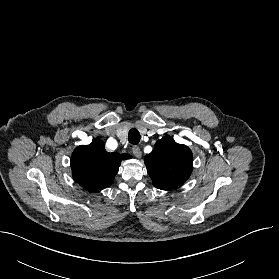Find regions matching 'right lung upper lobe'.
<instances>
[{
	"instance_id": "obj_1",
	"label": "right lung upper lobe",
	"mask_w": 279,
	"mask_h": 279,
	"mask_svg": "<svg viewBox=\"0 0 279 279\" xmlns=\"http://www.w3.org/2000/svg\"><path fill=\"white\" fill-rule=\"evenodd\" d=\"M127 154L109 153L101 139L78 146L71 157L72 174L77 183L89 192H99L110 186L120 163Z\"/></svg>"
}]
</instances>
